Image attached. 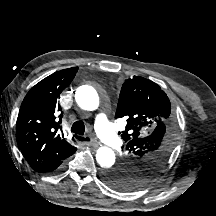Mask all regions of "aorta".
Listing matches in <instances>:
<instances>
[{
  "mask_svg": "<svg viewBox=\"0 0 216 216\" xmlns=\"http://www.w3.org/2000/svg\"><path fill=\"white\" fill-rule=\"evenodd\" d=\"M78 106L87 111L96 110L99 106V96L91 86H80L75 93ZM97 163L104 169H109L115 163V154L109 147L102 146L96 152Z\"/></svg>",
  "mask_w": 216,
  "mask_h": 216,
  "instance_id": "aorta-1",
  "label": "aorta"
}]
</instances>
